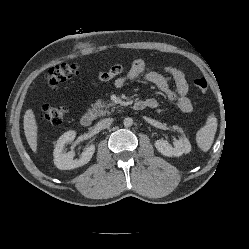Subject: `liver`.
<instances>
[{
  "instance_id": "1",
  "label": "liver",
  "mask_w": 249,
  "mask_h": 249,
  "mask_svg": "<svg viewBox=\"0 0 249 249\" xmlns=\"http://www.w3.org/2000/svg\"><path fill=\"white\" fill-rule=\"evenodd\" d=\"M24 133L27 142L33 152H37V133L38 126L36 123L35 115L32 109H28L24 114Z\"/></svg>"
}]
</instances>
